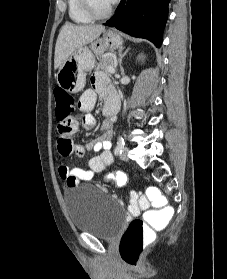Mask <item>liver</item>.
Masks as SVG:
<instances>
[{"label":"liver","instance_id":"6515ba94","mask_svg":"<svg viewBox=\"0 0 227 279\" xmlns=\"http://www.w3.org/2000/svg\"><path fill=\"white\" fill-rule=\"evenodd\" d=\"M104 29L102 25L66 23L61 28L56 41L54 68L58 69L78 48L97 39Z\"/></svg>","mask_w":227,"mask_h":279}]
</instances>
